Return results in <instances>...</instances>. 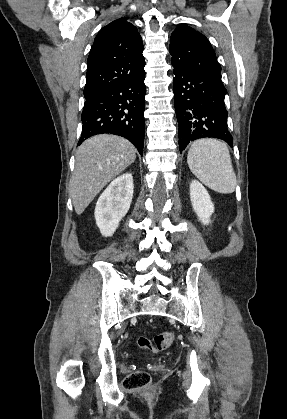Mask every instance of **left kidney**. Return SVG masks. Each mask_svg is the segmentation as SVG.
Masks as SVG:
<instances>
[{
    "label": "left kidney",
    "instance_id": "5707ae66",
    "mask_svg": "<svg viewBox=\"0 0 287 419\" xmlns=\"http://www.w3.org/2000/svg\"><path fill=\"white\" fill-rule=\"evenodd\" d=\"M190 200L199 220L204 225H208L211 222L210 217L214 213V204L208 191L197 180H192L190 183Z\"/></svg>",
    "mask_w": 287,
    "mask_h": 419
}]
</instances>
